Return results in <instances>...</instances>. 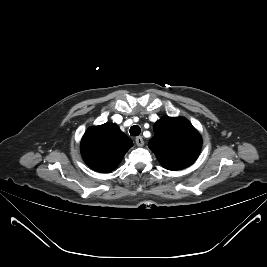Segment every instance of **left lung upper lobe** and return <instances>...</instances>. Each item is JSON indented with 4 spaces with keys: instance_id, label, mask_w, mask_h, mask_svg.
<instances>
[{
    "instance_id": "1",
    "label": "left lung upper lobe",
    "mask_w": 267,
    "mask_h": 267,
    "mask_svg": "<svg viewBox=\"0 0 267 267\" xmlns=\"http://www.w3.org/2000/svg\"><path fill=\"white\" fill-rule=\"evenodd\" d=\"M153 129L155 134L148 146L164 168L183 169L197 159L202 139L187 119L163 117L154 124Z\"/></svg>"
}]
</instances>
